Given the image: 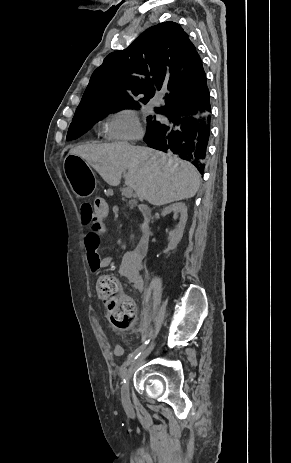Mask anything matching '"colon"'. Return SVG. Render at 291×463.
I'll return each instance as SVG.
<instances>
[{
  "label": "colon",
  "instance_id": "5ec220e1",
  "mask_svg": "<svg viewBox=\"0 0 291 463\" xmlns=\"http://www.w3.org/2000/svg\"><path fill=\"white\" fill-rule=\"evenodd\" d=\"M84 224H91L95 216L107 217L108 210L102 198H95L81 206ZM97 293L106 304L108 314L113 325L119 329H128L134 323L136 307L134 302L122 293L121 285L114 275H102L97 280Z\"/></svg>",
  "mask_w": 291,
  "mask_h": 463
}]
</instances>
